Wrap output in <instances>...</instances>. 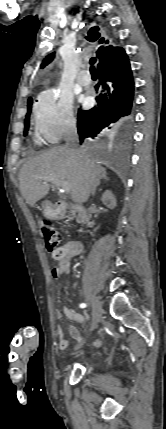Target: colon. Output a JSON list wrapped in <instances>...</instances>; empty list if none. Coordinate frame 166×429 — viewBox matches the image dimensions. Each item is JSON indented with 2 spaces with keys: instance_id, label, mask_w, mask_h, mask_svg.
<instances>
[{
  "instance_id": "colon-1",
  "label": "colon",
  "mask_w": 166,
  "mask_h": 429,
  "mask_svg": "<svg viewBox=\"0 0 166 429\" xmlns=\"http://www.w3.org/2000/svg\"><path fill=\"white\" fill-rule=\"evenodd\" d=\"M41 231L46 249L49 252L55 251L62 241L60 233L57 232L47 220L41 222Z\"/></svg>"
}]
</instances>
